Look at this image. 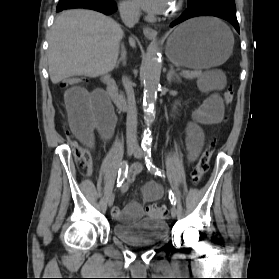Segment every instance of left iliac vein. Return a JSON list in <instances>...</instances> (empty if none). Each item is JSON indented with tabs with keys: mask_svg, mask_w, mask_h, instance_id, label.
<instances>
[{
	"mask_svg": "<svg viewBox=\"0 0 279 279\" xmlns=\"http://www.w3.org/2000/svg\"><path fill=\"white\" fill-rule=\"evenodd\" d=\"M134 156H135L136 158L141 159V158L144 156V154H143V152H142L141 149L137 148V149H135V151H134ZM170 213H171V216H172L173 218L176 217V215H177V209H176L175 206H172V207H171Z\"/></svg>",
	"mask_w": 279,
	"mask_h": 279,
	"instance_id": "4c4485c4",
	"label": "left iliac vein"
}]
</instances>
